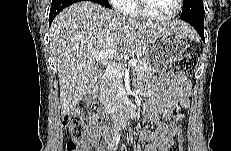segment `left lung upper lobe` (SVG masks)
<instances>
[{"instance_id": "obj_1", "label": "left lung upper lobe", "mask_w": 231, "mask_h": 151, "mask_svg": "<svg viewBox=\"0 0 231 151\" xmlns=\"http://www.w3.org/2000/svg\"><path fill=\"white\" fill-rule=\"evenodd\" d=\"M196 8H203V0H183L181 15H188Z\"/></svg>"}]
</instances>
